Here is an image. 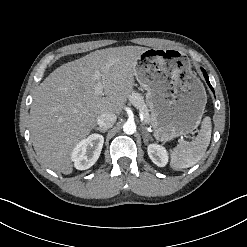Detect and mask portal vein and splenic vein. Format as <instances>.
Instances as JSON below:
<instances>
[{"mask_svg": "<svg viewBox=\"0 0 247 247\" xmlns=\"http://www.w3.org/2000/svg\"><path fill=\"white\" fill-rule=\"evenodd\" d=\"M94 78H95V80H97V84H96V87H95V92L97 94H99V95H102L103 94V85L100 82L101 73L99 71H96L95 74H94ZM141 118H143V117L141 116Z\"/></svg>", "mask_w": 247, "mask_h": 247, "instance_id": "1", "label": "portal vein and splenic vein"}]
</instances>
